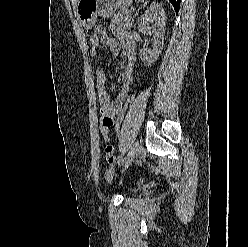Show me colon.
Masks as SVG:
<instances>
[{"label":"colon","instance_id":"obj_1","mask_svg":"<svg viewBox=\"0 0 248 247\" xmlns=\"http://www.w3.org/2000/svg\"><path fill=\"white\" fill-rule=\"evenodd\" d=\"M95 37L97 38H103L105 36V31L102 25H96L94 27V34ZM134 95L133 94H129L126 102L124 103V105L122 106V108L120 109V111L117 114L116 120L114 122V128H115V132L117 137L120 136V132H121V127H122V123L126 114V111L129 107V105L131 104V102L133 101Z\"/></svg>","mask_w":248,"mask_h":247}]
</instances>
